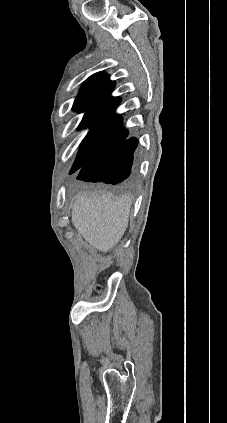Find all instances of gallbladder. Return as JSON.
Segmentation results:
<instances>
[{"label": "gallbladder", "instance_id": "1", "mask_svg": "<svg viewBox=\"0 0 227 423\" xmlns=\"http://www.w3.org/2000/svg\"><path fill=\"white\" fill-rule=\"evenodd\" d=\"M89 188H96V186H92V184H90Z\"/></svg>", "mask_w": 227, "mask_h": 423}]
</instances>
